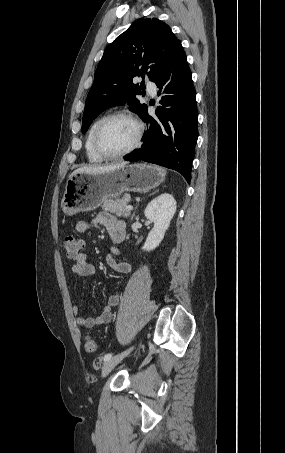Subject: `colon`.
Listing matches in <instances>:
<instances>
[{"instance_id": "5ec220e1", "label": "colon", "mask_w": 285, "mask_h": 453, "mask_svg": "<svg viewBox=\"0 0 285 453\" xmlns=\"http://www.w3.org/2000/svg\"><path fill=\"white\" fill-rule=\"evenodd\" d=\"M63 247L66 252V256L69 259L78 258L83 251V241L74 235H67L63 239ZM84 348L87 352L92 353L96 350V343L90 336L84 338Z\"/></svg>"}]
</instances>
